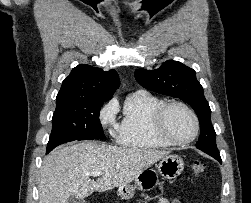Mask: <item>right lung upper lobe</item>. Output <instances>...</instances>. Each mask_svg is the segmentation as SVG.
Listing matches in <instances>:
<instances>
[{
	"instance_id": "right-lung-upper-lobe-1",
	"label": "right lung upper lobe",
	"mask_w": 251,
	"mask_h": 203,
	"mask_svg": "<svg viewBox=\"0 0 251 203\" xmlns=\"http://www.w3.org/2000/svg\"><path fill=\"white\" fill-rule=\"evenodd\" d=\"M119 85V76L115 70L103 71L80 64L62 82L56 97L57 106L77 101H108Z\"/></svg>"
}]
</instances>
